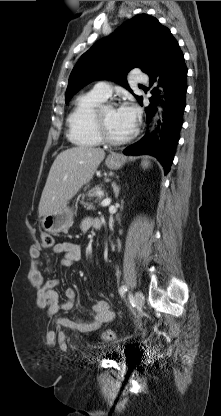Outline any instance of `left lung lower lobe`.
Returning a JSON list of instances; mask_svg holds the SVG:
<instances>
[{"instance_id":"obj_1","label":"left lung lower lobe","mask_w":221,"mask_h":416,"mask_svg":"<svg viewBox=\"0 0 221 416\" xmlns=\"http://www.w3.org/2000/svg\"><path fill=\"white\" fill-rule=\"evenodd\" d=\"M150 77V84L158 82L164 92V113L162 122H158L155 131L146 135L139 142L127 147L124 154H149L156 157L167 174L173 163L174 153L180 139L187 91V67L177 40L168 30L161 40L145 71ZM150 105L145 108L147 121L156 110L160 91L154 88ZM142 104V99L140 101Z\"/></svg>"}]
</instances>
